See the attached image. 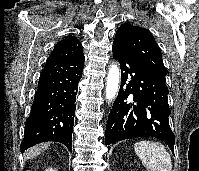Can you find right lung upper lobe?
I'll return each mask as SVG.
<instances>
[{
    "label": "right lung upper lobe",
    "instance_id": "obj_1",
    "mask_svg": "<svg viewBox=\"0 0 199 171\" xmlns=\"http://www.w3.org/2000/svg\"><path fill=\"white\" fill-rule=\"evenodd\" d=\"M82 45L74 36H67L62 41H59L47 60L61 59L70 60L78 58L83 54Z\"/></svg>",
    "mask_w": 199,
    "mask_h": 171
}]
</instances>
